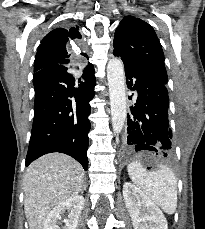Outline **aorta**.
<instances>
[{"mask_svg": "<svg viewBox=\"0 0 205 229\" xmlns=\"http://www.w3.org/2000/svg\"><path fill=\"white\" fill-rule=\"evenodd\" d=\"M107 79L111 107V120L114 133L124 127L126 112V84L124 66L120 59L112 58L107 65Z\"/></svg>", "mask_w": 205, "mask_h": 229, "instance_id": "obj_1", "label": "aorta"}]
</instances>
